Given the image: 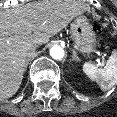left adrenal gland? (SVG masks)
<instances>
[{"label":"left adrenal gland","instance_id":"a2214340","mask_svg":"<svg viewBox=\"0 0 117 117\" xmlns=\"http://www.w3.org/2000/svg\"><path fill=\"white\" fill-rule=\"evenodd\" d=\"M73 59L77 62H80V58L78 57V55L75 51H73Z\"/></svg>","mask_w":117,"mask_h":117}]
</instances>
